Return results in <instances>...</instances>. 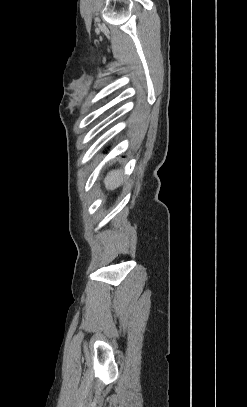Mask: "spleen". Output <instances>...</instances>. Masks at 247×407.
<instances>
[{
	"label": "spleen",
	"mask_w": 247,
	"mask_h": 407,
	"mask_svg": "<svg viewBox=\"0 0 247 407\" xmlns=\"http://www.w3.org/2000/svg\"><path fill=\"white\" fill-rule=\"evenodd\" d=\"M123 182L121 170H113L108 173L105 178V186L109 190H113Z\"/></svg>",
	"instance_id": "spleen-1"
}]
</instances>
